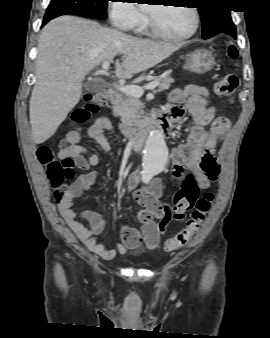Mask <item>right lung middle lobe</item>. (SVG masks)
Listing matches in <instances>:
<instances>
[{
	"instance_id": "obj_1",
	"label": "right lung middle lobe",
	"mask_w": 270,
	"mask_h": 338,
	"mask_svg": "<svg viewBox=\"0 0 270 338\" xmlns=\"http://www.w3.org/2000/svg\"><path fill=\"white\" fill-rule=\"evenodd\" d=\"M109 0H51L45 16L75 14L95 19H106Z\"/></svg>"
}]
</instances>
